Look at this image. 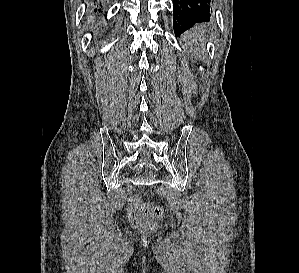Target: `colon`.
<instances>
[{
	"label": "colon",
	"mask_w": 299,
	"mask_h": 273,
	"mask_svg": "<svg viewBox=\"0 0 299 273\" xmlns=\"http://www.w3.org/2000/svg\"><path fill=\"white\" fill-rule=\"evenodd\" d=\"M164 211L160 206H153L143 202L139 197H133L127 207V215L135 225L141 228H151L152 224L145 220V217L151 219H160Z\"/></svg>",
	"instance_id": "5ec220e1"
}]
</instances>
